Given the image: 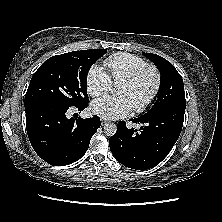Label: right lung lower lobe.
Listing matches in <instances>:
<instances>
[{
  "label": "right lung lower lobe",
  "mask_w": 222,
  "mask_h": 222,
  "mask_svg": "<svg viewBox=\"0 0 222 222\" xmlns=\"http://www.w3.org/2000/svg\"><path fill=\"white\" fill-rule=\"evenodd\" d=\"M88 101L77 106L40 103L26 110V128L35 152L47 163L64 166L79 160L100 127L98 116L83 119L66 117L70 108L83 111Z\"/></svg>",
  "instance_id": "obj_1"
}]
</instances>
